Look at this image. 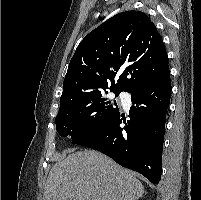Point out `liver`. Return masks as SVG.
Segmentation results:
<instances>
[{
	"label": "liver",
	"instance_id": "liver-1",
	"mask_svg": "<svg viewBox=\"0 0 201 200\" xmlns=\"http://www.w3.org/2000/svg\"><path fill=\"white\" fill-rule=\"evenodd\" d=\"M143 193L130 171L102 153L84 150L52 167L43 200H138Z\"/></svg>",
	"mask_w": 201,
	"mask_h": 200
}]
</instances>
